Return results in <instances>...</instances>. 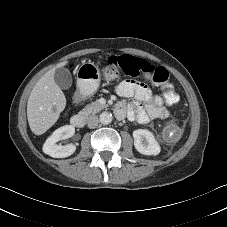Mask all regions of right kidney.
Wrapping results in <instances>:
<instances>
[{
  "label": "right kidney",
  "mask_w": 227,
  "mask_h": 227,
  "mask_svg": "<svg viewBox=\"0 0 227 227\" xmlns=\"http://www.w3.org/2000/svg\"><path fill=\"white\" fill-rule=\"evenodd\" d=\"M74 133L75 128L72 125H65L56 129L52 135L46 139L43 145V152L53 158H65L72 155L76 150L75 145L68 144L63 146L56 143L60 140L72 137Z\"/></svg>",
  "instance_id": "1"
}]
</instances>
